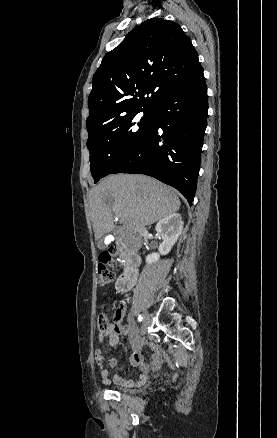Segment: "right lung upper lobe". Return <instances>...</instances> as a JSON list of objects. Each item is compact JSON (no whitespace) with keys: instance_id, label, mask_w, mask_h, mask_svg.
<instances>
[{"instance_id":"obj_1","label":"right lung upper lobe","mask_w":277,"mask_h":438,"mask_svg":"<svg viewBox=\"0 0 277 438\" xmlns=\"http://www.w3.org/2000/svg\"><path fill=\"white\" fill-rule=\"evenodd\" d=\"M170 64L178 68L170 72L166 68ZM202 72L190 38L177 23L148 19L107 53L95 72L88 98L87 128L152 109L163 93Z\"/></svg>"}]
</instances>
